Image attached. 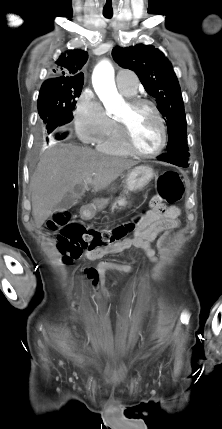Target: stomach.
<instances>
[{
    "instance_id": "1",
    "label": "stomach",
    "mask_w": 222,
    "mask_h": 429,
    "mask_svg": "<svg viewBox=\"0 0 222 429\" xmlns=\"http://www.w3.org/2000/svg\"><path fill=\"white\" fill-rule=\"evenodd\" d=\"M154 170L145 165L137 166L129 171L125 179V189L127 192H138L143 190L154 178ZM106 203L104 200H96L83 215L87 218L93 217L97 211L102 210Z\"/></svg>"
}]
</instances>
